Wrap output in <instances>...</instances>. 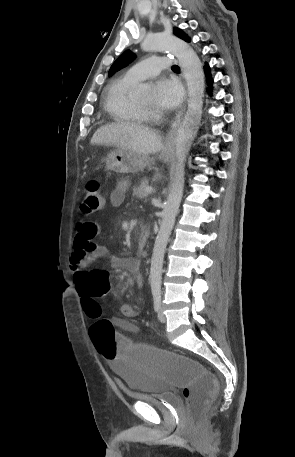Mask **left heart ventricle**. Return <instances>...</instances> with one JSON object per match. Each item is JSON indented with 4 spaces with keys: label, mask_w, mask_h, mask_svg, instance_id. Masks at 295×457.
<instances>
[{
    "label": "left heart ventricle",
    "mask_w": 295,
    "mask_h": 457,
    "mask_svg": "<svg viewBox=\"0 0 295 457\" xmlns=\"http://www.w3.org/2000/svg\"><path fill=\"white\" fill-rule=\"evenodd\" d=\"M143 105L148 106L151 104V99H147L144 102H142Z\"/></svg>",
    "instance_id": "left-heart-ventricle-1"
}]
</instances>
